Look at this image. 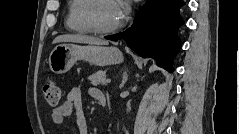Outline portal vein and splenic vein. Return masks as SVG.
<instances>
[{"label": "portal vein and splenic vein", "mask_w": 239, "mask_h": 134, "mask_svg": "<svg viewBox=\"0 0 239 134\" xmlns=\"http://www.w3.org/2000/svg\"><path fill=\"white\" fill-rule=\"evenodd\" d=\"M110 82H111V79L108 78V79L106 80V83H110Z\"/></svg>", "instance_id": "1"}]
</instances>
